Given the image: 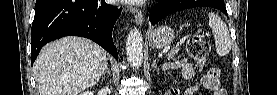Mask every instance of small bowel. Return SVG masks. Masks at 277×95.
Returning a JSON list of instances; mask_svg holds the SVG:
<instances>
[{
	"instance_id": "obj_1",
	"label": "small bowel",
	"mask_w": 277,
	"mask_h": 95,
	"mask_svg": "<svg viewBox=\"0 0 277 95\" xmlns=\"http://www.w3.org/2000/svg\"><path fill=\"white\" fill-rule=\"evenodd\" d=\"M172 66H180L181 67V76L185 79L193 78L196 74L195 66L192 61L182 59V60H175L172 63ZM205 85L207 88L213 91V95H225L224 89L219 85V83H212L211 84V77L209 74L204 76ZM196 87H190L186 89L184 92L185 95H194L196 94ZM165 94L167 95H179L180 92L176 88H172L168 90Z\"/></svg>"
}]
</instances>
